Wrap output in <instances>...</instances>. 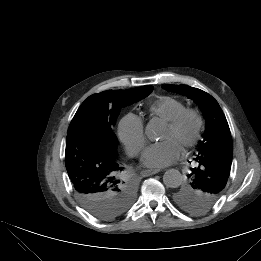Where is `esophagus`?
<instances>
[{
	"mask_svg": "<svg viewBox=\"0 0 261 261\" xmlns=\"http://www.w3.org/2000/svg\"><path fill=\"white\" fill-rule=\"evenodd\" d=\"M159 172H160L159 169H148V170L141 171V175L143 177H147V176H151V175L157 174Z\"/></svg>",
	"mask_w": 261,
	"mask_h": 261,
	"instance_id": "obj_1",
	"label": "esophagus"
}]
</instances>
